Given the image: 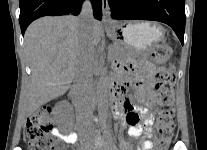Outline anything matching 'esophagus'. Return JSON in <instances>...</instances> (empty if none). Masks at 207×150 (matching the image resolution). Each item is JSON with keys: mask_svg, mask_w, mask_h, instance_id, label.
I'll list each match as a JSON object with an SVG mask.
<instances>
[{"mask_svg": "<svg viewBox=\"0 0 207 150\" xmlns=\"http://www.w3.org/2000/svg\"><path fill=\"white\" fill-rule=\"evenodd\" d=\"M102 14H103L102 21L104 24L112 23L108 0H102Z\"/></svg>", "mask_w": 207, "mask_h": 150, "instance_id": "obj_1", "label": "esophagus"}]
</instances>
